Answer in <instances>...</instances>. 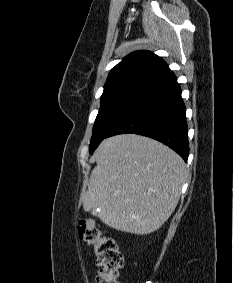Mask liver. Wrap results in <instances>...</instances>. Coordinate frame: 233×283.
I'll return each mask as SVG.
<instances>
[{
	"label": "liver",
	"instance_id": "liver-1",
	"mask_svg": "<svg viewBox=\"0 0 233 283\" xmlns=\"http://www.w3.org/2000/svg\"><path fill=\"white\" fill-rule=\"evenodd\" d=\"M93 157L85 211L99 207L103 223L138 235L168 220L186 180V164L176 152L154 139L122 134L104 139Z\"/></svg>",
	"mask_w": 233,
	"mask_h": 283
}]
</instances>
